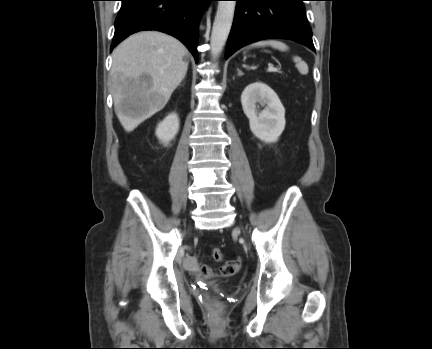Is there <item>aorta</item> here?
Listing matches in <instances>:
<instances>
[{"instance_id": "aorta-1", "label": "aorta", "mask_w": 432, "mask_h": 349, "mask_svg": "<svg viewBox=\"0 0 432 349\" xmlns=\"http://www.w3.org/2000/svg\"><path fill=\"white\" fill-rule=\"evenodd\" d=\"M235 1H218L210 46L213 59H217L229 36L235 12Z\"/></svg>"}]
</instances>
